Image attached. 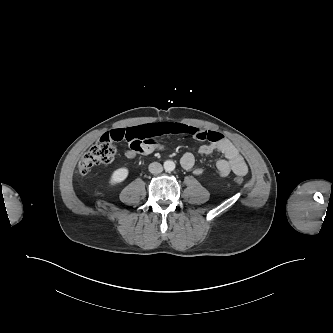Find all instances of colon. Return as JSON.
Wrapping results in <instances>:
<instances>
[{
    "instance_id": "obj_1",
    "label": "colon",
    "mask_w": 333,
    "mask_h": 333,
    "mask_svg": "<svg viewBox=\"0 0 333 333\" xmlns=\"http://www.w3.org/2000/svg\"><path fill=\"white\" fill-rule=\"evenodd\" d=\"M114 156L115 148L112 145L111 140L102 137L83 155L78 166V173L81 176H85L92 171L93 167L111 162L114 159ZM235 181L238 184L243 183V179L240 177H236Z\"/></svg>"
}]
</instances>
